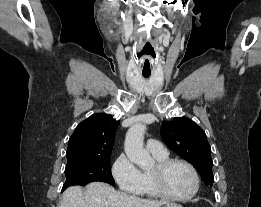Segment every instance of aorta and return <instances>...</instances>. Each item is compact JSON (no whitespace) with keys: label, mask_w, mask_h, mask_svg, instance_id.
<instances>
[{"label":"aorta","mask_w":261,"mask_h":207,"mask_svg":"<svg viewBox=\"0 0 261 207\" xmlns=\"http://www.w3.org/2000/svg\"><path fill=\"white\" fill-rule=\"evenodd\" d=\"M146 126L138 123L132 125L125 137L124 149L127 157L139 168L145 170L153 166L154 160L144 149V134Z\"/></svg>","instance_id":"aorta-1"}]
</instances>
